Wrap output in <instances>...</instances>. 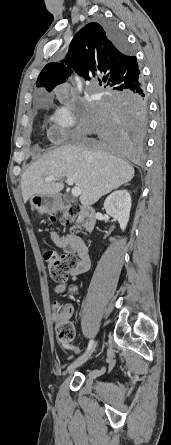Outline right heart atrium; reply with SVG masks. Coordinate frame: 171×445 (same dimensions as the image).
<instances>
[{
  "label": "right heart atrium",
  "instance_id": "obj_1",
  "mask_svg": "<svg viewBox=\"0 0 171 445\" xmlns=\"http://www.w3.org/2000/svg\"><path fill=\"white\" fill-rule=\"evenodd\" d=\"M52 130L51 138L53 141H63L72 132L76 124V114L68 102L62 103L57 107L51 116Z\"/></svg>",
  "mask_w": 171,
  "mask_h": 445
}]
</instances>
